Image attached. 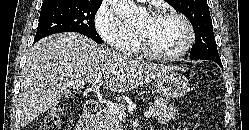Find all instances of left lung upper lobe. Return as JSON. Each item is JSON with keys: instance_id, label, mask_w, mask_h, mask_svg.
<instances>
[{"instance_id": "left-lung-upper-lobe-1", "label": "left lung upper lobe", "mask_w": 249, "mask_h": 130, "mask_svg": "<svg viewBox=\"0 0 249 130\" xmlns=\"http://www.w3.org/2000/svg\"><path fill=\"white\" fill-rule=\"evenodd\" d=\"M177 11L183 13L192 23L195 31L191 59H220L213 33L212 19L206 0H167Z\"/></svg>"}]
</instances>
